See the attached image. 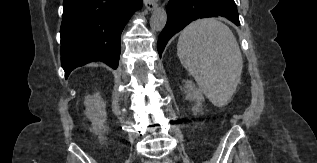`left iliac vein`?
I'll return each instance as SVG.
<instances>
[{"mask_svg":"<svg viewBox=\"0 0 317 163\" xmlns=\"http://www.w3.org/2000/svg\"><path fill=\"white\" fill-rule=\"evenodd\" d=\"M154 163H160V162L159 161H155ZM163 163H171V161L166 159V160L163 161Z\"/></svg>","mask_w":317,"mask_h":163,"instance_id":"left-iliac-vein-1","label":"left iliac vein"}]
</instances>
